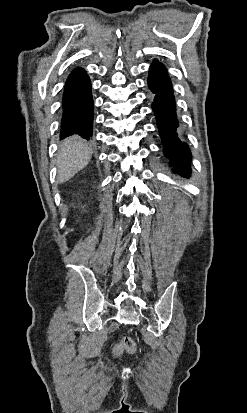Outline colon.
Returning a JSON list of instances; mask_svg holds the SVG:
<instances>
[{"label":"colon","instance_id":"obj_1","mask_svg":"<svg viewBox=\"0 0 247 413\" xmlns=\"http://www.w3.org/2000/svg\"><path fill=\"white\" fill-rule=\"evenodd\" d=\"M112 349L116 354L122 352L123 355H139L144 352V349L139 347L136 342L129 337L124 338L122 342H114L112 344Z\"/></svg>","mask_w":247,"mask_h":413}]
</instances>
